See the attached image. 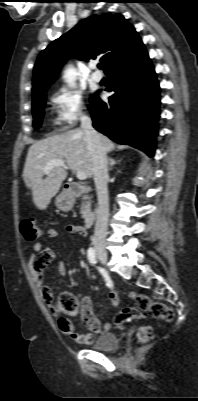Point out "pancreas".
I'll list each match as a JSON object with an SVG mask.
<instances>
[{
  "mask_svg": "<svg viewBox=\"0 0 198 401\" xmlns=\"http://www.w3.org/2000/svg\"><path fill=\"white\" fill-rule=\"evenodd\" d=\"M82 199H83V203H82V206H81V212L80 213H81L82 218H84L86 213H87V211L90 208V199H91V197L88 196V195H85Z\"/></svg>",
  "mask_w": 198,
  "mask_h": 401,
  "instance_id": "cf45deb5",
  "label": "pancreas"
}]
</instances>
